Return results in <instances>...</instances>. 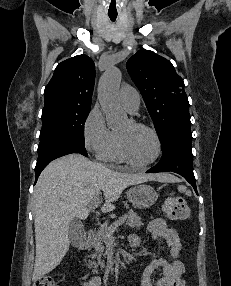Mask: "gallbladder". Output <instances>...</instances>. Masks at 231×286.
Listing matches in <instances>:
<instances>
[{"label":"gallbladder","instance_id":"bac80fb5","mask_svg":"<svg viewBox=\"0 0 231 286\" xmlns=\"http://www.w3.org/2000/svg\"><path fill=\"white\" fill-rule=\"evenodd\" d=\"M69 234H83L84 228L80 218L74 217L69 224Z\"/></svg>","mask_w":231,"mask_h":286}]
</instances>
